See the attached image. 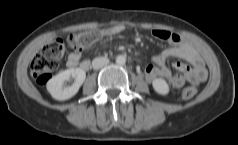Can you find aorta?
<instances>
[{
	"label": "aorta",
	"mask_w": 238,
	"mask_h": 145,
	"mask_svg": "<svg viewBox=\"0 0 238 145\" xmlns=\"http://www.w3.org/2000/svg\"><path fill=\"white\" fill-rule=\"evenodd\" d=\"M116 63L119 65H123L126 63V57L124 55H118L116 57Z\"/></svg>",
	"instance_id": "obj_1"
}]
</instances>
